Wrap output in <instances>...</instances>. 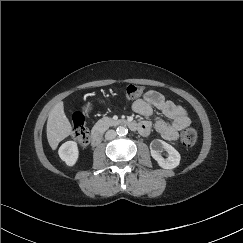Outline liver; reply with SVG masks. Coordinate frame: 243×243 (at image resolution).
I'll return each mask as SVG.
<instances>
[{"mask_svg": "<svg viewBox=\"0 0 243 243\" xmlns=\"http://www.w3.org/2000/svg\"><path fill=\"white\" fill-rule=\"evenodd\" d=\"M71 132L72 127L64 113V104L60 101L51 109L47 120V139L50 147L56 150L59 142Z\"/></svg>", "mask_w": 243, "mask_h": 243, "instance_id": "liver-1", "label": "liver"}]
</instances>
